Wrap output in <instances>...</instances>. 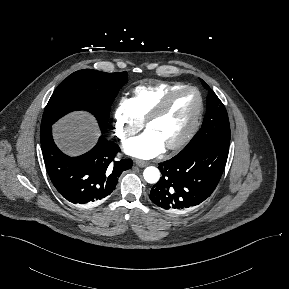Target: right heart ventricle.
Segmentation results:
<instances>
[{
    "label": "right heart ventricle",
    "mask_w": 289,
    "mask_h": 289,
    "mask_svg": "<svg viewBox=\"0 0 289 289\" xmlns=\"http://www.w3.org/2000/svg\"><path fill=\"white\" fill-rule=\"evenodd\" d=\"M178 82H161L141 85L133 90L130 98L136 118L143 122L161 100L171 91L182 87Z\"/></svg>",
    "instance_id": "1"
}]
</instances>
